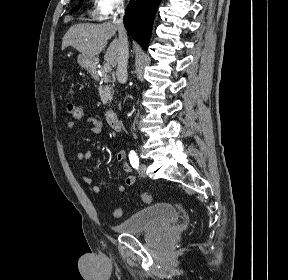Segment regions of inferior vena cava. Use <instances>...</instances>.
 <instances>
[{
  "label": "inferior vena cava",
  "mask_w": 288,
  "mask_h": 280,
  "mask_svg": "<svg viewBox=\"0 0 288 280\" xmlns=\"http://www.w3.org/2000/svg\"><path fill=\"white\" fill-rule=\"evenodd\" d=\"M124 12V5L121 3L117 6V11L113 19V24L118 30L120 41L116 69V76L120 83H125L127 80V63L129 58L127 33L123 24Z\"/></svg>",
  "instance_id": "1"
}]
</instances>
